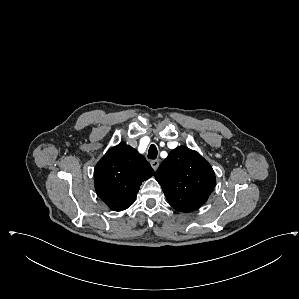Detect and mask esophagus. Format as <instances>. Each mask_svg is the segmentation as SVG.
Returning a JSON list of instances; mask_svg holds the SVG:
<instances>
[{
	"mask_svg": "<svg viewBox=\"0 0 299 299\" xmlns=\"http://www.w3.org/2000/svg\"><path fill=\"white\" fill-rule=\"evenodd\" d=\"M150 164H151L152 168L156 171L159 167L160 161L158 159L152 160L150 162Z\"/></svg>",
	"mask_w": 299,
	"mask_h": 299,
	"instance_id": "esophagus-1",
	"label": "esophagus"
}]
</instances>
